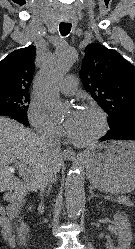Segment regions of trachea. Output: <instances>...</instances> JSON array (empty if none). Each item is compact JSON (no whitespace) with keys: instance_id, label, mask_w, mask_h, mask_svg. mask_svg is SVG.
Instances as JSON below:
<instances>
[{"instance_id":"1","label":"trachea","mask_w":135,"mask_h":249,"mask_svg":"<svg viewBox=\"0 0 135 249\" xmlns=\"http://www.w3.org/2000/svg\"><path fill=\"white\" fill-rule=\"evenodd\" d=\"M59 30L62 36L68 35L71 30V23H65V22L60 23Z\"/></svg>"}]
</instances>
